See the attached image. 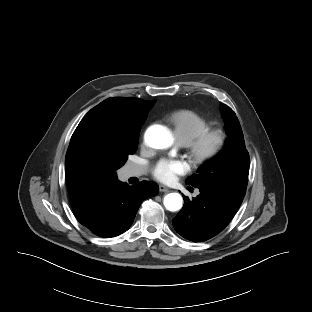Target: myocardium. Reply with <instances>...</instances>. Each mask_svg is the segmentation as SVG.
<instances>
[{
  "instance_id": "myocardium-1",
  "label": "myocardium",
  "mask_w": 312,
  "mask_h": 312,
  "mask_svg": "<svg viewBox=\"0 0 312 312\" xmlns=\"http://www.w3.org/2000/svg\"><path fill=\"white\" fill-rule=\"evenodd\" d=\"M227 140V131L223 127L216 126L208 128L186 145L193 160L197 163H204L220 155Z\"/></svg>"
}]
</instances>
